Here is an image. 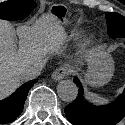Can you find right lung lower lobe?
<instances>
[{
  "label": "right lung lower lobe",
  "mask_w": 125,
  "mask_h": 125,
  "mask_svg": "<svg viewBox=\"0 0 125 125\" xmlns=\"http://www.w3.org/2000/svg\"><path fill=\"white\" fill-rule=\"evenodd\" d=\"M36 82L32 80L23 84L11 96L0 101V124L11 123L20 115L27 94Z\"/></svg>",
  "instance_id": "right-lung-lower-lobe-1"
}]
</instances>
